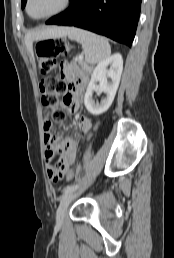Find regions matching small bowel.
I'll return each mask as SVG.
<instances>
[{"label": "small bowel", "instance_id": "1", "mask_svg": "<svg viewBox=\"0 0 174 258\" xmlns=\"http://www.w3.org/2000/svg\"><path fill=\"white\" fill-rule=\"evenodd\" d=\"M60 75L73 84L71 93L67 95L70 102L64 99L63 105L70 111H77L79 97L88 82V75L74 61L62 62L60 65ZM78 123L79 127H82V133L88 134L89 130H91V123H94V118H79ZM51 130V123L46 121L44 124L45 158L48 163L50 183H63V175H66L67 169L75 161L78 142L73 139L58 140L52 135ZM61 151H64L62 160L55 158V155Z\"/></svg>", "mask_w": 174, "mask_h": 258}]
</instances>
